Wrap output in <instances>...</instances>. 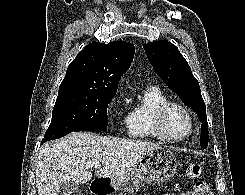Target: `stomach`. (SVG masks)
Returning <instances> with one entry per match:
<instances>
[{"label": "stomach", "mask_w": 245, "mask_h": 195, "mask_svg": "<svg viewBox=\"0 0 245 195\" xmlns=\"http://www.w3.org/2000/svg\"><path fill=\"white\" fill-rule=\"evenodd\" d=\"M177 167V158L171 150L161 148L147 151L129 171L111 178L110 187L117 190L129 182L148 184L166 182L176 173Z\"/></svg>", "instance_id": "1"}]
</instances>
